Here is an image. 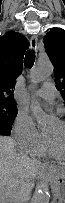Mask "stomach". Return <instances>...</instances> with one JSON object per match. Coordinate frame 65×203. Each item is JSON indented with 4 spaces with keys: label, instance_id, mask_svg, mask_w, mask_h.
<instances>
[{
    "label": "stomach",
    "instance_id": "0dacf381",
    "mask_svg": "<svg viewBox=\"0 0 65 203\" xmlns=\"http://www.w3.org/2000/svg\"><path fill=\"white\" fill-rule=\"evenodd\" d=\"M48 172L51 178L54 195L59 198L58 203H65V167L49 166Z\"/></svg>",
    "mask_w": 65,
    "mask_h": 203
}]
</instances>
